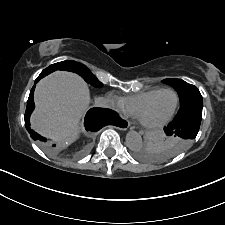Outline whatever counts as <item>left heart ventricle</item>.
I'll use <instances>...</instances> for the list:
<instances>
[{
	"mask_svg": "<svg viewBox=\"0 0 225 225\" xmlns=\"http://www.w3.org/2000/svg\"><path fill=\"white\" fill-rule=\"evenodd\" d=\"M176 104V96L172 92L160 94L149 106L144 114V120L147 124H156L162 122L172 113Z\"/></svg>",
	"mask_w": 225,
	"mask_h": 225,
	"instance_id": "b2bd125f",
	"label": "left heart ventricle"
}]
</instances>
